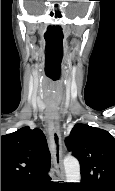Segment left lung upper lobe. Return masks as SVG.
Returning <instances> with one entry per match:
<instances>
[{
    "label": "left lung upper lobe",
    "instance_id": "1",
    "mask_svg": "<svg viewBox=\"0 0 115 191\" xmlns=\"http://www.w3.org/2000/svg\"><path fill=\"white\" fill-rule=\"evenodd\" d=\"M66 145L80 162L82 187L115 191V139L109 132L79 123Z\"/></svg>",
    "mask_w": 115,
    "mask_h": 191
}]
</instances>
